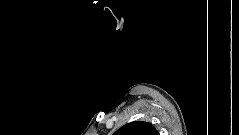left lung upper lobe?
I'll return each mask as SVG.
<instances>
[{"mask_svg": "<svg viewBox=\"0 0 239 135\" xmlns=\"http://www.w3.org/2000/svg\"><path fill=\"white\" fill-rule=\"evenodd\" d=\"M114 135H159V133L148 122L135 121L122 126Z\"/></svg>", "mask_w": 239, "mask_h": 135, "instance_id": "1", "label": "left lung upper lobe"}]
</instances>
